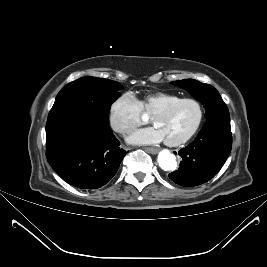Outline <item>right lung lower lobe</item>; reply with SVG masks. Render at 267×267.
Segmentation results:
<instances>
[{"mask_svg":"<svg viewBox=\"0 0 267 267\" xmlns=\"http://www.w3.org/2000/svg\"><path fill=\"white\" fill-rule=\"evenodd\" d=\"M46 157L56 173L81 189H97L116 174L126 155L106 121L68 111L46 124Z\"/></svg>","mask_w":267,"mask_h":267,"instance_id":"right-lung-lower-lobe-1","label":"right lung lower lobe"}]
</instances>
